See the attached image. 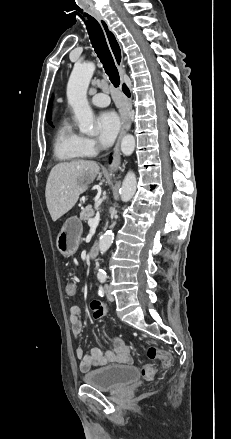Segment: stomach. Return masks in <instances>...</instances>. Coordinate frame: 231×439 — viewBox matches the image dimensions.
Listing matches in <instances>:
<instances>
[{
	"label": "stomach",
	"mask_w": 231,
	"mask_h": 439,
	"mask_svg": "<svg viewBox=\"0 0 231 439\" xmlns=\"http://www.w3.org/2000/svg\"><path fill=\"white\" fill-rule=\"evenodd\" d=\"M83 228L79 219L69 218L66 220L58 234L56 245L59 252L64 256H72L79 247Z\"/></svg>",
	"instance_id": "1"
}]
</instances>
